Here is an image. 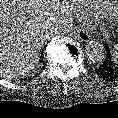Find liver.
I'll return each mask as SVG.
<instances>
[{
	"instance_id": "6515ba94",
	"label": "liver",
	"mask_w": 118,
	"mask_h": 118,
	"mask_svg": "<svg viewBox=\"0 0 118 118\" xmlns=\"http://www.w3.org/2000/svg\"><path fill=\"white\" fill-rule=\"evenodd\" d=\"M73 0H0V77L27 76L53 25L71 19Z\"/></svg>"
}]
</instances>
